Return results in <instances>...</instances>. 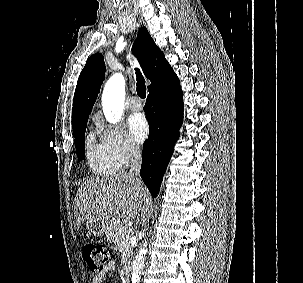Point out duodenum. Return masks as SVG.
<instances>
[{"instance_id":"410a0bca","label":"duodenum","mask_w":303,"mask_h":283,"mask_svg":"<svg viewBox=\"0 0 303 283\" xmlns=\"http://www.w3.org/2000/svg\"><path fill=\"white\" fill-rule=\"evenodd\" d=\"M122 272L124 277L129 280L130 278V265L128 263H125L122 267Z\"/></svg>"}]
</instances>
